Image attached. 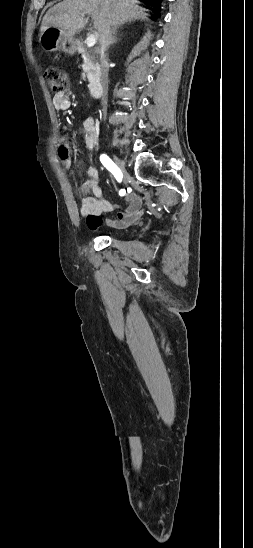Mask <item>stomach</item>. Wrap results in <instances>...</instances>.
Wrapping results in <instances>:
<instances>
[{
  "mask_svg": "<svg viewBox=\"0 0 253 548\" xmlns=\"http://www.w3.org/2000/svg\"><path fill=\"white\" fill-rule=\"evenodd\" d=\"M39 44L46 52L61 51L67 54L76 52V43L73 37H68L56 27H49L39 36Z\"/></svg>",
  "mask_w": 253,
  "mask_h": 548,
  "instance_id": "obj_1",
  "label": "stomach"
}]
</instances>
